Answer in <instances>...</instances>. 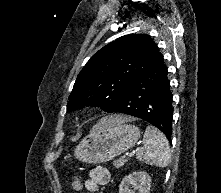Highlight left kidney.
<instances>
[{
  "mask_svg": "<svg viewBox=\"0 0 221 193\" xmlns=\"http://www.w3.org/2000/svg\"><path fill=\"white\" fill-rule=\"evenodd\" d=\"M150 187L151 177L146 172H133L123 178L119 193H135L134 190H138L139 193H149Z\"/></svg>",
  "mask_w": 221,
  "mask_h": 193,
  "instance_id": "1",
  "label": "left kidney"
}]
</instances>
